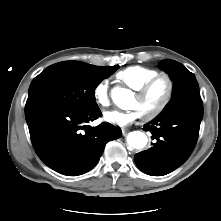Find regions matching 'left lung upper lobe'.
<instances>
[{
  "label": "left lung upper lobe",
  "mask_w": 221,
  "mask_h": 221,
  "mask_svg": "<svg viewBox=\"0 0 221 221\" xmlns=\"http://www.w3.org/2000/svg\"><path fill=\"white\" fill-rule=\"evenodd\" d=\"M159 67L170 74L174 83L172 99L160 115L187 106L189 102L201 100L196 78L184 65L177 61L166 59L160 62Z\"/></svg>",
  "instance_id": "left-lung-upper-lobe-1"
}]
</instances>
